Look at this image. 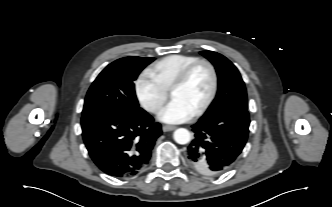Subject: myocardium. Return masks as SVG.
I'll return each instance as SVG.
<instances>
[{
  "label": "myocardium",
  "instance_id": "obj_1",
  "mask_svg": "<svg viewBox=\"0 0 332 207\" xmlns=\"http://www.w3.org/2000/svg\"><path fill=\"white\" fill-rule=\"evenodd\" d=\"M199 65H205L209 69L212 82H211L210 92H209L207 98L202 103V105L194 112V116H199V115L203 114L209 108V106L212 104V102L217 94L219 78H218V73H217V70H216V67L214 66V64L207 59H203V58L196 59L192 63L188 64L178 74V76L176 77V79L174 80V82L172 83V85L169 89V92L171 93L173 90L178 89L181 86H183L185 84V82L187 81L189 75L192 73V71Z\"/></svg>",
  "mask_w": 332,
  "mask_h": 207
}]
</instances>
